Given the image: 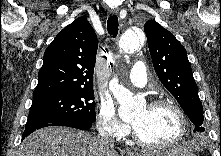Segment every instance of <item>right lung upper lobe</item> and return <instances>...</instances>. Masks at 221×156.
<instances>
[{
	"mask_svg": "<svg viewBox=\"0 0 221 156\" xmlns=\"http://www.w3.org/2000/svg\"><path fill=\"white\" fill-rule=\"evenodd\" d=\"M97 36L80 17L67 25L44 52L33 99L59 92L93 89Z\"/></svg>",
	"mask_w": 221,
	"mask_h": 156,
	"instance_id": "1",
	"label": "right lung upper lobe"
}]
</instances>
